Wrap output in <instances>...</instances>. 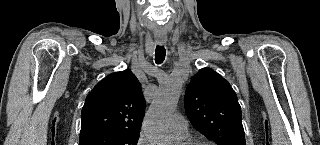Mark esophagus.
Segmentation results:
<instances>
[{
    "mask_svg": "<svg viewBox=\"0 0 320 145\" xmlns=\"http://www.w3.org/2000/svg\"><path fill=\"white\" fill-rule=\"evenodd\" d=\"M157 42H158L159 44H164V43L166 42V39H165V38H158V39H157Z\"/></svg>",
    "mask_w": 320,
    "mask_h": 145,
    "instance_id": "34e87169",
    "label": "esophagus"
}]
</instances>
